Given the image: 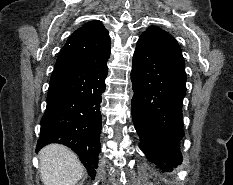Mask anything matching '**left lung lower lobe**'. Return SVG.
Returning a JSON list of instances; mask_svg holds the SVG:
<instances>
[{
    "instance_id": "1",
    "label": "left lung lower lobe",
    "mask_w": 233,
    "mask_h": 185,
    "mask_svg": "<svg viewBox=\"0 0 233 185\" xmlns=\"http://www.w3.org/2000/svg\"><path fill=\"white\" fill-rule=\"evenodd\" d=\"M132 118L141 148L160 169L182 162V103L186 93L183 57L139 38L133 55Z\"/></svg>"
}]
</instances>
